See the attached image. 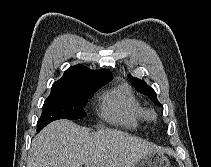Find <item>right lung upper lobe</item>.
Instances as JSON below:
<instances>
[{
  "instance_id": "1",
  "label": "right lung upper lobe",
  "mask_w": 211,
  "mask_h": 167,
  "mask_svg": "<svg viewBox=\"0 0 211 167\" xmlns=\"http://www.w3.org/2000/svg\"><path fill=\"white\" fill-rule=\"evenodd\" d=\"M113 75L108 69L90 70L79 64L67 69L61 79L54 82L52 89L65 88L91 81H110Z\"/></svg>"
}]
</instances>
